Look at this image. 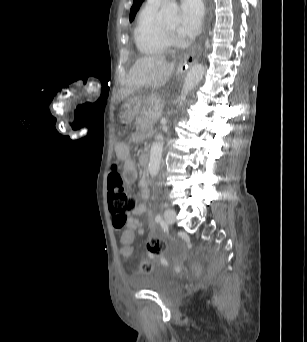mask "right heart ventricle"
<instances>
[{"label": "right heart ventricle", "instance_id": "right-heart-ventricle-1", "mask_svg": "<svg viewBox=\"0 0 307 342\" xmlns=\"http://www.w3.org/2000/svg\"><path fill=\"white\" fill-rule=\"evenodd\" d=\"M157 24L156 11L149 9L140 11L133 39L136 51L144 58H152L164 53L157 39Z\"/></svg>", "mask_w": 307, "mask_h": 342}]
</instances>
